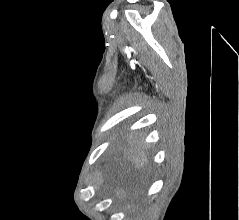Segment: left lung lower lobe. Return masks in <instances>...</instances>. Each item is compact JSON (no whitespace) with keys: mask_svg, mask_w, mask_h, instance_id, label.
Here are the masks:
<instances>
[{"mask_svg":"<svg viewBox=\"0 0 239 220\" xmlns=\"http://www.w3.org/2000/svg\"><path fill=\"white\" fill-rule=\"evenodd\" d=\"M132 152H133V151H132ZM132 152H131V151H129L127 154H128V155H133V153H134V152H133V153H132Z\"/></svg>","mask_w":239,"mask_h":220,"instance_id":"1","label":"left lung lower lobe"}]
</instances>
